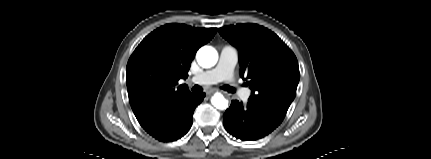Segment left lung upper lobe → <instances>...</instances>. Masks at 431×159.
I'll list each match as a JSON object with an SVG mask.
<instances>
[{
  "label": "left lung upper lobe",
  "instance_id": "1",
  "mask_svg": "<svg viewBox=\"0 0 431 159\" xmlns=\"http://www.w3.org/2000/svg\"><path fill=\"white\" fill-rule=\"evenodd\" d=\"M218 31L239 51L240 74L252 90L248 101L286 114L300 79L298 61L290 48L257 24L224 26Z\"/></svg>",
  "mask_w": 431,
  "mask_h": 159
}]
</instances>
